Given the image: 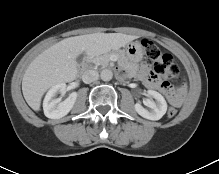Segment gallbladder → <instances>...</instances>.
<instances>
[{"label":"gallbladder","mask_w":219,"mask_h":174,"mask_svg":"<svg viewBox=\"0 0 219 174\" xmlns=\"http://www.w3.org/2000/svg\"><path fill=\"white\" fill-rule=\"evenodd\" d=\"M81 60H82V57L79 56V57L77 58V62H81Z\"/></svg>","instance_id":"1"}]
</instances>
